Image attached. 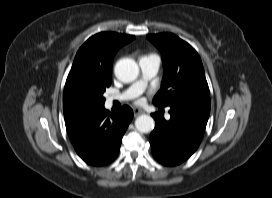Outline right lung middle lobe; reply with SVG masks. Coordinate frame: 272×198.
Listing matches in <instances>:
<instances>
[{
  "label": "right lung middle lobe",
  "instance_id": "right-lung-middle-lobe-1",
  "mask_svg": "<svg viewBox=\"0 0 272 198\" xmlns=\"http://www.w3.org/2000/svg\"><path fill=\"white\" fill-rule=\"evenodd\" d=\"M110 82L101 86L98 90H97V100H96V103H97V107L100 108V107H103L104 106V102H105V98L103 97V93L106 89V87H109L110 86Z\"/></svg>",
  "mask_w": 272,
  "mask_h": 198
}]
</instances>
